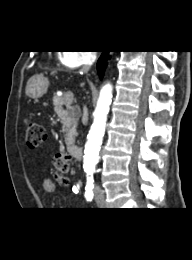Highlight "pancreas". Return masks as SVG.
<instances>
[{
  "instance_id": "cf45deb5",
  "label": "pancreas",
  "mask_w": 192,
  "mask_h": 260,
  "mask_svg": "<svg viewBox=\"0 0 192 260\" xmlns=\"http://www.w3.org/2000/svg\"><path fill=\"white\" fill-rule=\"evenodd\" d=\"M54 111L61 120L62 132L65 133V143L70 145L74 142L77 134L76 128L81 115L78 106H71L65 101L64 96L53 97Z\"/></svg>"
}]
</instances>
